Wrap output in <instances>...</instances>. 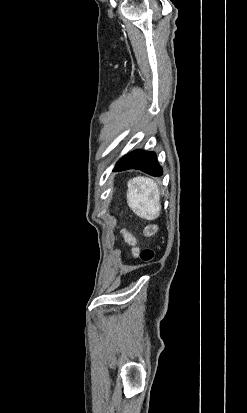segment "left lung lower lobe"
<instances>
[{"mask_svg": "<svg viewBox=\"0 0 247 413\" xmlns=\"http://www.w3.org/2000/svg\"><path fill=\"white\" fill-rule=\"evenodd\" d=\"M128 169L141 170L153 176H161L162 169L159 166L156 155L153 152L136 150L124 156L117 164L114 172L125 171Z\"/></svg>", "mask_w": 247, "mask_h": 413, "instance_id": "left-lung-lower-lobe-1", "label": "left lung lower lobe"}]
</instances>
